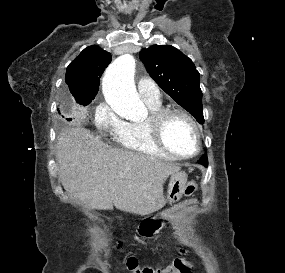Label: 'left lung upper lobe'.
<instances>
[{"label": "left lung upper lobe", "instance_id": "1", "mask_svg": "<svg viewBox=\"0 0 285 273\" xmlns=\"http://www.w3.org/2000/svg\"><path fill=\"white\" fill-rule=\"evenodd\" d=\"M150 76L176 103L203 124L200 74L191 59L171 45H153L140 52Z\"/></svg>", "mask_w": 285, "mask_h": 273}]
</instances>
